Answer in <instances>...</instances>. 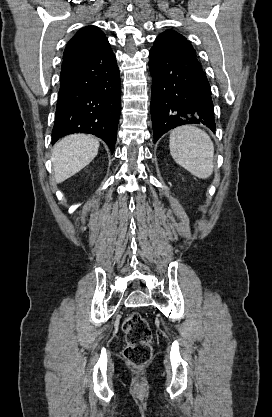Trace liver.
I'll return each instance as SVG.
<instances>
[{
    "mask_svg": "<svg viewBox=\"0 0 272 417\" xmlns=\"http://www.w3.org/2000/svg\"><path fill=\"white\" fill-rule=\"evenodd\" d=\"M99 141L85 134L67 136L52 150V164L56 183H61L86 167L98 154Z\"/></svg>",
    "mask_w": 272,
    "mask_h": 417,
    "instance_id": "1",
    "label": "liver"
}]
</instances>
